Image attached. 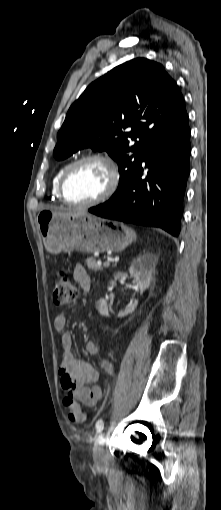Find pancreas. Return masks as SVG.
<instances>
[{"instance_id": "obj_1", "label": "pancreas", "mask_w": 221, "mask_h": 510, "mask_svg": "<svg viewBox=\"0 0 221 510\" xmlns=\"http://www.w3.org/2000/svg\"><path fill=\"white\" fill-rule=\"evenodd\" d=\"M86 265L88 269L92 271H102L104 269V267L101 264H98L97 260L93 257L86 260Z\"/></svg>"}]
</instances>
